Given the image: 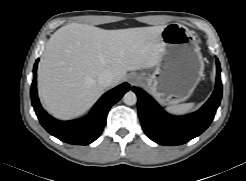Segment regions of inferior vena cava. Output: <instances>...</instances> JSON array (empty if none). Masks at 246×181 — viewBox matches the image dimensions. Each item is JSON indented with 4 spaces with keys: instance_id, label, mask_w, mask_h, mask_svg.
<instances>
[{
    "instance_id": "602c4592",
    "label": "inferior vena cava",
    "mask_w": 246,
    "mask_h": 181,
    "mask_svg": "<svg viewBox=\"0 0 246 181\" xmlns=\"http://www.w3.org/2000/svg\"><path fill=\"white\" fill-rule=\"evenodd\" d=\"M113 74L111 71L109 70H104L103 72L100 73V75L98 76V83L102 86V87H108L110 85H112L113 83Z\"/></svg>"
}]
</instances>
